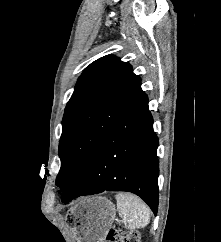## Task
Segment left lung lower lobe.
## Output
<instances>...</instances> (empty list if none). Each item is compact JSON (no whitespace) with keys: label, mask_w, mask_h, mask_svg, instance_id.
Returning a JSON list of instances; mask_svg holds the SVG:
<instances>
[{"label":"left lung lower lobe","mask_w":221,"mask_h":242,"mask_svg":"<svg viewBox=\"0 0 221 242\" xmlns=\"http://www.w3.org/2000/svg\"><path fill=\"white\" fill-rule=\"evenodd\" d=\"M157 146L145 94L92 147L78 176L63 191L62 202L104 191H127L141 197L156 215Z\"/></svg>","instance_id":"1"}]
</instances>
